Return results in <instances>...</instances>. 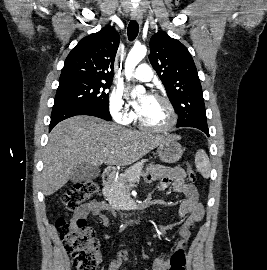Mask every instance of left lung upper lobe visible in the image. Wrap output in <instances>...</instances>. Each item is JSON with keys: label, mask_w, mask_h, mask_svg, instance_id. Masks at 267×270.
I'll return each instance as SVG.
<instances>
[{"label": "left lung upper lobe", "mask_w": 267, "mask_h": 270, "mask_svg": "<svg viewBox=\"0 0 267 270\" xmlns=\"http://www.w3.org/2000/svg\"><path fill=\"white\" fill-rule=\"evenodd\" d=\"M150 50V63L178 114L176 126L192 123L207 125L202 88L188 49L160 31L152 36Z\"/></svg>", "instance_id": "left-lung-upper-lobe-1"}]
</instances>
